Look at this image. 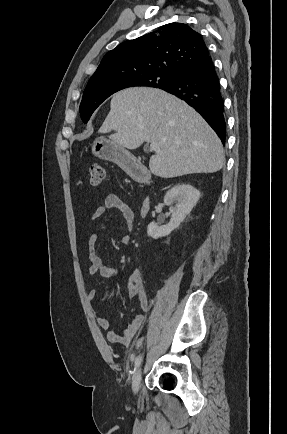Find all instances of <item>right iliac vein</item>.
Here are the masks:
<instances>
[{
	"instance_id": "1",
	"label": "right iliac vein",
	"mask_w": 287,
	"mask_h": 434,
	"mask_svg": "<svg viewBox=\"0 0 287 434\" xmlns=\"http://www.w3.org/2000/svg\"><path fill=\"white\" fill-rule=\"evenodd\" d=\"M141 376H142L141 368H138L132 377V390L134 393H137L139 390Z\"/></svg>"
}]
</instances>
